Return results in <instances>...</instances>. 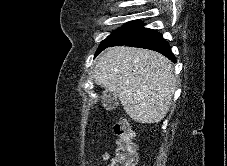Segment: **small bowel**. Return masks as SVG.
<instances>
[{"label": "small bowel", "mask_w": 227, "mask_h": 166, "mask_svg": "<svg viewBox=\"0 0 227 166\" xmlns=\"http://www.w3.org/2000/svg\"><path fill=\"white\" fill-rule=\"evenodd\" d=\"M100 157H101L102 160L107 161V160H109L110 155H109L108 152H102V153L100 154Z\"/></svg>", "instance_id": "c3829d8e"}]
</instances>
